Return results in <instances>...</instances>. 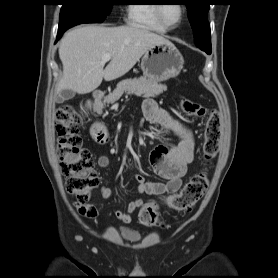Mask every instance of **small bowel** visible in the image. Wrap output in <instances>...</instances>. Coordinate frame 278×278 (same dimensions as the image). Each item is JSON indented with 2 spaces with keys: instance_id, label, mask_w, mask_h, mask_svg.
<instances>
[{
  "instance_id": "obj_1",
  "label": "small bowel",
  "mask_w": 278,
  "mask_h": 278,
  "mask_svg": "<svg viewBox=\"0 0 278 278\" xmlns=\"http://www.w3.org/2000/svg\"><path fill=\"white\" fill-rule=\"evenodd\" d=\"M142 112L148 122L158 123L171 131L177 137V142L171 147L158 144L150 152L149 161L153 171L164 178L166 182L149 181L143 175L136 174L138 192L149 196L174 194L181 188L182 178L187 172L188 165L194 159L193 133L185 124L174 118L152 99L144 101ZM97 164L100 168H107L110 165V160L107 156L102 155L98 158ZM100 193L103 198H109L113 195V190L108 186H102ZM143 205V199H136L128 204L126 210L117 211L116 217L123 223H130L132 214ZM75 206L82 215L88 218L98 216L95 204L76 203Z\"/></svg>"
}]
</instances>
